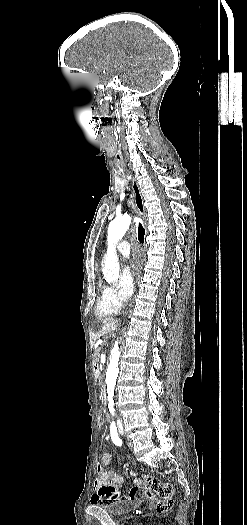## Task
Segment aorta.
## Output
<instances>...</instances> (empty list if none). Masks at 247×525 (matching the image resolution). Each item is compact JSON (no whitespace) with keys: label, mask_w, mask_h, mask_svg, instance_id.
<instances>
[{"label":"aorta","mask_w":247,"mask_h":525,"mask_svg":"<svg viewBox=\"0 0 247 525\" xmlns=\"http://www.w3.org/2000/svg\"><path fill=\"white\" fill-rule=\"evenodd\" d=\"M131 224V217L128 214L116 217L108 227V250L104 258L103 275L107 283L114 284L119 278V263L116 254V244L125 235ZM120 350L118 341L115 342L111 350L109 365L106 371V384L108 388L109 411L114 415V389L118 377V362Z\"/></svg>","instance_id":"1"}]
</instances>
